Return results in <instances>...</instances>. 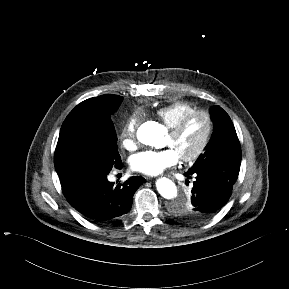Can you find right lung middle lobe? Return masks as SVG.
<instances>
[{
  "label": "right lung middle lobe",
  "instance_id": "dd1d6c3e",
  "mask_svg": "<svg viewBox=\"0 0 289 289\" xmlns=\"http://www.w3.org/2000/svg\"><path fill=\"white\" fill-rule=\"evenodd\" d=\"M122 100L106 94L81 102L69 113L54 155L59 176L78 171L110 172L121 163L111 116Z\"/></svg>",
  "mask_w": 289,
  "mask_h": 289
}]
</instances>
